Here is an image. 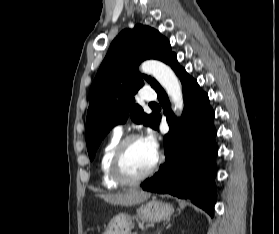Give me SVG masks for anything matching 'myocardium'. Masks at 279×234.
<instances>
[{
  "label": "myocardium",
  "mask_w": 279,
  "mask_h": 234,
  "mask_svg": "<svg viewBox=\"0 0 279 234\" xmlns=\"http://www.w3.org/2000/svg\"><path fill=\"white\" fill-rule=\"evenodd\" d=\"M138 134H131L120 140L116 146L110 164L112 178L120 185H135L150 177L158 168L161 162V156L157 153L156 159L149 169L141 175L129 176L123 168V159L128 146L136 140H141Z\"/></svg>",
  "instance_id": "obj_1"
}]
</instances>
